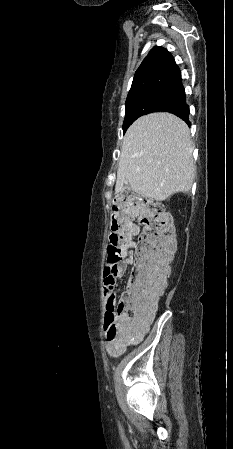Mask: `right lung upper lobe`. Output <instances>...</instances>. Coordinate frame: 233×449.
<instances>
[{
  "instance_id": "obj_1",
  "label": "right lung upper lobe",
  "mask_w": 233,
  "mask_h": 449,
  "mask_svg": "<svg viewBox=\"0 0 233 449\" xmlns=\"http://www.w3.org/2000/svg\"><path fill=\"white\" fill-rule=\"evenodd\" d=\"M153 88L184 90L180 69L173 56L159 46L152 48L139 66L128 95Z\"/></svg>"
}]
</instances>
